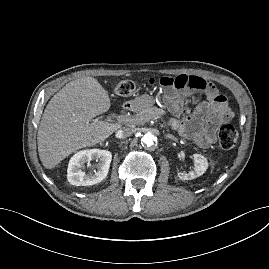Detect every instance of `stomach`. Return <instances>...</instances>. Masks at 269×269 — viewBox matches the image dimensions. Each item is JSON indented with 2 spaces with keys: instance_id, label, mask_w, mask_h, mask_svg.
Listing matches in <instances>:
<instances>
[{
  "instance_id": "1",
  "label": "stomach",
  "mask_w": 269,
  "mask_h": 269,
  "mask_svg": "<svg viewBox=\"0 0 269 269\" xmlns=\"http://www.w3.org/2000/svg\"><path fill=\"white\" fill-rule=\"evenodd\" d=\"M134 102L139 106V108H147V107L153 106L155 103V100L150 95H144L138 98L137 100H135Z\"/></svg>"
}]
</instances>
